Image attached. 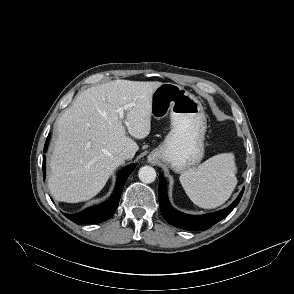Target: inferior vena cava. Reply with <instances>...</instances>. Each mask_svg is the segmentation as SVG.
I'll return each instance as SVG.
<instances>
[{
	"mask_svg": "<svg viewBox=\"0 0 294 294\" xmlns=\"http://www.w3.org/2000/svg\"><path fill=\"white\" fill-rule=\"evenodd\" d=\"M133 154L131 152H129L128 150H124L119 154V157L122 160H128V159H132L133 158Z\"/></svg>",
	"mask_w": 294,
	"mask_h": 294,
	"instance_id": "1",
	"label": "inferior vena cava"
}]
</instances>
